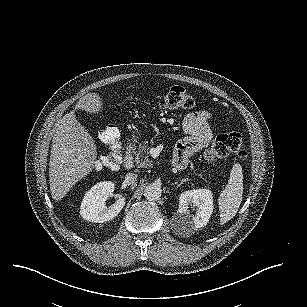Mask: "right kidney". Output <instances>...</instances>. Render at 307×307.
I'll use <instances>...</instances> for the list:
<instances>
[{
    "mask_svg": "<svg viewBox=\"0 0 307 307\" xmlns=\"http://www.w3.org/2000/svg\"><path fill=\"white\" fill-rule=\"evenodd\" d=\"M114 188L112 181H100L94 184L82 198L79 207L80 216L94 223H103L113 219L125 204V200L121 198L115 204L106 206L105 200L112 195Z\"/></svg>",
    "mask_w": 307,
    "mask_h": 307,
    "instance_id": "1",
    "label": "right kidney"
}]
</instances>
